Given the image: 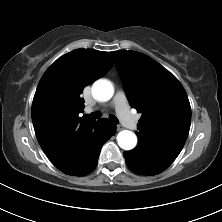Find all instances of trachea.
I'll return each instance as SVG.
<instances>
[{"instance_id":"3493384b","label":"trachea","mask_w":222,"mask_h":222,"mask_svg":"<svg viewBox=\"0 0 222 222\" xmlns=\"http://www.w3.org/2000/svg\"><path fill=\"white\" fill-rule=\"evenodd\" d=\"M87 117L91 118V119H99L101 117V113L100 112H93L90 113L89 115H86ZM110 121L114 124H118V119L115 116H110Z\"/></svg>"}]
</instances>
